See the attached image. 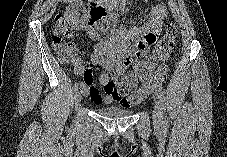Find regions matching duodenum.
Wrapping results in <instances>:
<instances>
[{
  "label": "duodenum",
  "instance_id": "obj_1",
  "mask_svg": "<svg viewBox=\"0 0 227 157\" xmlns=\"http://www.w3.org/2000/svg\"><path fill=\"white\" fill-rule=\"evenodd\" d=\"M90 9V20H87L91 32H108L116 30V16L107 13L106 7L101 0H91L87 4Z\"/></svg>",
  "mask_w": 227,
  "mask_h": 157
}]
</instances>
